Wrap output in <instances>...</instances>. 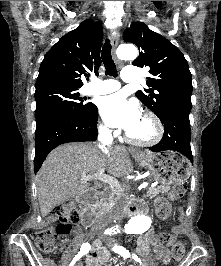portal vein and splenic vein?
<instances>
[{"instance_id": "18ae733b", "label": "portal vein and splenic vein", "mask_w": 221, "mask_h": 266, "mask_svg": "<svg viewBox=\"0 0 221 266\" xmlns=\"http://www.w3.org/2000/svg\"><path fill=\"white\" fill-rule=\"evenodd\" d=\"M93 179H98L102 182L108 183L114 187L119 188L120 187V183L117 179H115L114 177L110 176V175H105L104 174V169L100 170L98 173L96 174H92V175H83L81 177L82 181H89V180H93ZM156 185L152 184L151 187L154 188Z\"/></svg>"}]
</instances>
